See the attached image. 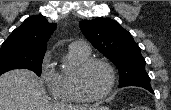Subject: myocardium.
I'll return each mask as SVG.
<instances>
[{
	"label": "myocardium",
	"instance_id": "1",
	"mask_svg": "<svg viewBox=\"0 0 171 110\" xmlns=\"http://www.w3.org/2000/svg\"><path fill=\"white\" fill-rule=\"evenodd\" d=\"M94 64H101L104 67H106L110 75V83H109L108 88L103 93L96 95V96L90 95L85 90L84 85H83L84 74ZM73 84H74L75 92L83 101H86V102L99 101V100L107 98L114 90V87L116 84V73H115L113 66L108 61L104 59H100V58H89L76 69L74 76H73Z\"/></svg>",
	"mask_w": 171,
	"mask_h": 110
}]
</instances>
